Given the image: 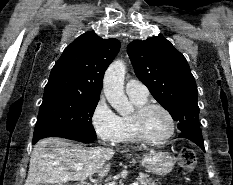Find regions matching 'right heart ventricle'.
<instances>
[{"mask_svg":"<svg viewBox=\"0 0 233 185\" xmlns=\"http://www.w3.org/2000/svg\"><path fill=\"white\" fill-rule=\"evenodd\" d=\"M130 98L135 106H140L147 102V98H137V97H130ZM121 121L123 126V133L119 142L122 143L138 142L139 140L136 138L133 130L131 116H122Z\"/></svg>","mask_w":233,"mask_h":185,"instance_id":"right-heart-ventricle-1","label":"right heart ventricle"}]
</instances>
